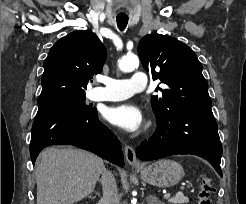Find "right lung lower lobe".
I'll return each mask as SVG.
<instances>
[{
	"label": "right lung lower lobe",
	"mask_w": 246,
	"mask_h": 204,
	"mask_svg": "<svg viewBox=\"0 0 246 204\" xmlns=\"http://www.w3.org/2000/svg\"><path fill=\"white\" fill-rule=\"evenodd\" d=\"M62 144L77 146L120 167L124 166L121 145L113 133L98 120L96 108L86 112L75 104H39L30 143L33 165L43 148Z\"/></svg>",
	"instance_id": "right-lung-lower-lobe-1"
}]
</instances>
